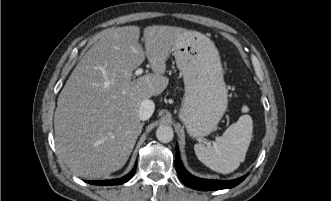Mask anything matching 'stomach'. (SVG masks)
Returning <instances> with one entry per match:
<instances>
[{
  "label": "stomach",
  "mask_w": 331,
  "mask_h": 201,
  "mask_svg": "<svg viewBox=\"0 0 331 201\" xmlns=\"http://www.w3.org/2000/svg\"><path fill=\"white\" fill-rule=\"evenodd\" d=\"M173 55L185 85L179 118L188 134L199 139L215 130L227 109L220 56L210 38L197 31H187Z\"/></svg>",
  "instance_id": "0dacf381"
}]
</instances>
